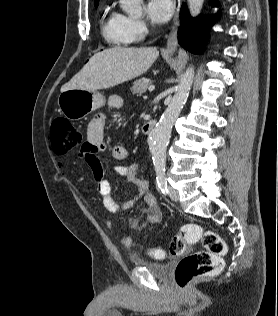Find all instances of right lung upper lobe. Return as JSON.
Returning <instances> with one entry per match:
<instances>
[{
  "label": "right lung upper lobe",
  "mask_w": 278,
  "mask_h": 316,
  "mask_svg": "<svg viewBox=\"0 0 278 316\" xmlns=\"http://www.w3.org/2000/svg\"><path fill=\"white\" fill-rule=\"evenodd\" d=\"M99 0H94V2H98Z\"/></svg>",
  "instance_id": "obj_1"
}]
</instances>
